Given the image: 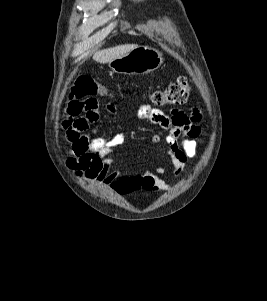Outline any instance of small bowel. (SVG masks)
<instances>
[{"label":"small bowel","instance_id":"small-bowel-1","mask_svg":"<svg viewBox=\"0 0 267 301\" xmlns=\"http://www.w3.org/2000/svg\"><path fill=\"white\" fill-rule=\"evenodd\" d=\"M105 110L114 114V104L106 105ZM66 114L62 126L66 139L71 144V155L67 160L70 169L89 181L108 186L119 195L170 190V185L162 178L166 172L165 167H158L155 172L144 171L139 174H121L110 169V155L123 143L124 137L92 136L90 127L100 116L96 98L70 99L66 106ZM137 116L167 131L163 139L158 135L152 136L150 143H166L167 153L173 164V175L180 177L187 162L197 158V139L201 134L198 123L201 114L196 110L186 113L180 109H173L168 115L157 108L144 105L138 109Z\"/></svg>","mask_w":267,"mask_h":301}]
</instances>
